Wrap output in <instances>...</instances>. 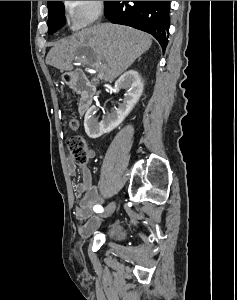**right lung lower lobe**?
Segmentation results:
<instances>
[{
  "label": "right lung lower lobe",
  "mask_w": 237,
  "mask_h": 300,
  "mask_svg": "<svg viewBox=\"0 0 237 300\" xmlns=\"http://www.w3.org/2000/svg\"><path fill=\"white\" fill-rule=\"evenodd\" d=\"M110 22L152 34L165 50L170 26V1H105Z\"/></svg>",
  "instance_id": "98d812e1"
}]
</instances>
